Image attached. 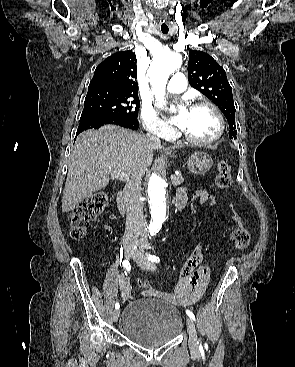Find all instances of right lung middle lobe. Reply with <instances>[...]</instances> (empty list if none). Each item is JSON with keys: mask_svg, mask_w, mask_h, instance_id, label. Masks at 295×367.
<instances>
[{"mask_svg": "<svg viewBox=\"0 0 295 367\" xmlns=\"http://www.w3.org/2000/svg\"><path fill=\"white\" fill-rule=\"evenodd\" d=\"M139 106L138 96L101 90L88 91L80 122L116 117L137 119Z\"/></svg>", "mask_w": 295, "mask_h": 367, "instance_id": "obj_1", "label": "right lung middle lobe"}]
</instances>
